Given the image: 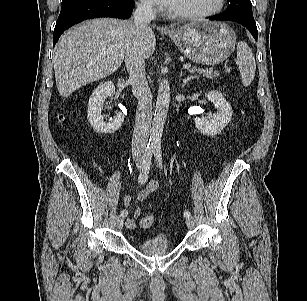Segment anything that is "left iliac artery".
Returning a JSON list of instances; mask_svg holds the SVG:
<instances>
[{
    "label": "left iliac artery",
    "instance_id": "left-iliac-artery-1",
    "mask_svg": "<svg viewBox=\"0 0 307 301\" xmlns=\"http://www.w3.org/2000/svg\"><path fill=\"white\" fill-rule=\"evenodd\" d=\"M154 156L158 163V166L162 169L163 168V162H162V151L160 146H156L154 148ZM184 217H189L191 215L190 211L185 210L184 211Z\"/></svg>",
    "mask_w": 307,
    "mask_h": 301
}]
</instances>
